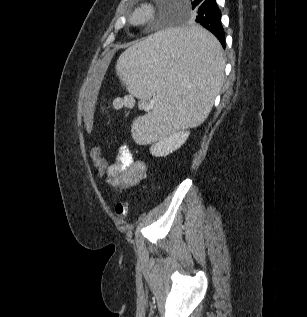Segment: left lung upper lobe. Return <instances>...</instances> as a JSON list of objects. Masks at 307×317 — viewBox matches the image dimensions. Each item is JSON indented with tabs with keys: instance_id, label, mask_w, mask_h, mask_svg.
<instances>
[{
	"instance_id": "5c2ea615",
	"label": "left lung upper lobe",
	"mask_w": 307,
	"mask_h": 317,
	"mask_svg": "<svg viewBox=\"0 0 307 317\" xmlns=\"http://www.w3.org/2000/svg\"><path fill=\"white\" fill-rule=\"evenodd\" d=\"M194 1H195V0H191V4H192V6H193V4H194ZM193 9H194V8H193Z\"/></svg>"
}]
</instances>
